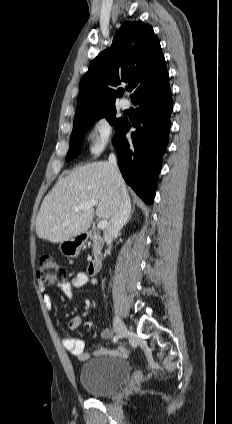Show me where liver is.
I'll list each match as a JSON object with an SVG mask.
<instances>
[{"mask_svg": "<svg viewBox=\"0 0 232 424\" xmlns=\"http://www.w3.org/2000/svg\"><path fill=\"white\" fill-rule=\"evenodd\" d=\"M126 190L122 176L116 179L108 162L75 168L61 178L44 198L36 219L39 238L60 243L87 231L94 215L110 220L116 208V194ZM97 200L92 207L75 211L80 204Z\"/></svg>", "mask_w": 232, "mask_h": 424, "instance_id": "1", "label": "liver"}]
</instances>
